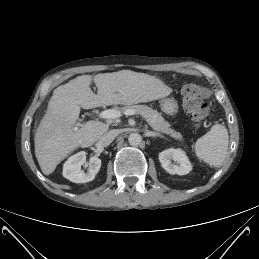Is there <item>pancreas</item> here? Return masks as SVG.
I'll return each instance as SVG.
<instances>
[{"instance_id":"1","label":"pancreas","mask_w":259,"mask_h":259,"mask_svg":"<svg viewBox=\"0 0 259 259\" xmlns=\"http://www.w3.org/2000/svg\"><path fill=\"white\" fill-rule=\"evenodd\" d=\"M134 110L135 112L142 115L148 124L155 130L164 134L171 136L172 138L182 141V135L179 132H176L172 128H170V124L165 121V119L161 116L156 110H153L151 107L146 105H129L122 107V111L125 112L127 110Z\"/></svg>"}]
</instances>
